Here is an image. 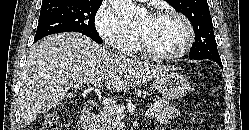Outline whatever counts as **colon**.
<instances>
[{"label":"colon","mask_w":249,"mask_h":130,"mask_svg":"<svg viewBox=\"0 0 249 130\" xmlns=\"http://www.w3.org/2000/svg\"><path fill=\"white\" fill-rule=\"evenodd\" d=\"M61 116V108H54L46 115L40 130H61Z\"/></svg>","instance_id":"colon-1"}]
</instances>
